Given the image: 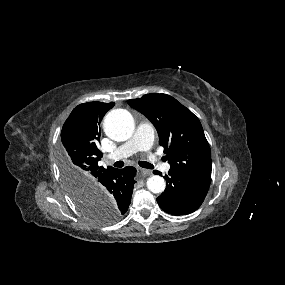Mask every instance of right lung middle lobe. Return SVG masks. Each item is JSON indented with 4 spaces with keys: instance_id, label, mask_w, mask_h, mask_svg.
<instances>
[{
    "instance_id": "obj_1",
    "label": "right lung middle lobe",
    "mask_w": 285,
    "mask_h": 285,
    "mask_svg": "<svg viewBox=\"0 0 285 285\" xmlns=\"http://www.w3.org/2000/svg\"><path fill=\"white\" fill-rule=\"evenodd\" d=\"M60 164L62 177L68 192L77 208L85 217L100 224H109L121 217L110 205L104 203L100 198L97 199L95 192L93 193V191L85 187L81 189L78 180L62 155H60Z\"/></svg>"
}]
</instances>
